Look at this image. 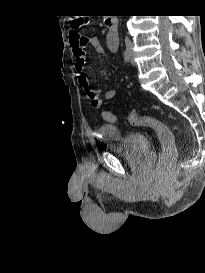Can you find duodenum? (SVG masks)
I'll list each match as a JSON object with an SVG mask.
<instances>
[{"label":"duodenum","instance_id":"obj_1","mask_svg":"<svg viewBox=\"0 0 205 273\" xmlns=\"http://www.w3.org/2000/svg\"><path fill=\"white\" fill-rule=\"evenodd\" d=\"M117 21L118 18L116 16H110L106 18L105 25L111 33H115L117 28Z\"/></svg>","mask_w":205,"mask_h":273}]
</instances>
